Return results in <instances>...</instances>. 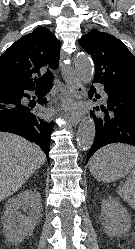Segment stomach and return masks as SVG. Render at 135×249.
<instances>
[{
    "label": "stomach",
    "mask_w": 135,
    "mask_h": 249,
    "mask_svg": "<svg viewBox=\"0 0 135 249\" xmlns=\"http://www.w3.org/2000/svg\"><path fill=\"white\" fill-rule=\"evenodd\" d=\"M134 165L125 158L108 156L89 166L91 174L98 180L111 182L127 175Z\"/></svg>",
    "instance_id": "0dacf381"
}]
</instances>
